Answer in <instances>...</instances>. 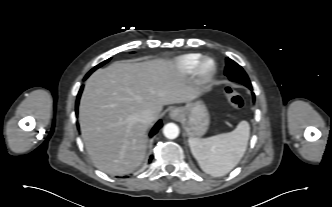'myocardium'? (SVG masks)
Masks as SVG:
<instances>
[{
    "label": "myocardium",
    "mask_w": 332,
    "mask_h": 207,
    "mask_svg": "<svg viewBox=\"0 0 332 207\" xmlns=\"http://www.w3.org/2000/svg\"><path fill=\"white\" fill-rule=\"evenodd\" d=\"M217 64L211 57H203L194 69V75L199 83L205 84L212 80L216 73Z\"/></svg>",
    "instance_id": "1"
}]
</instances>
